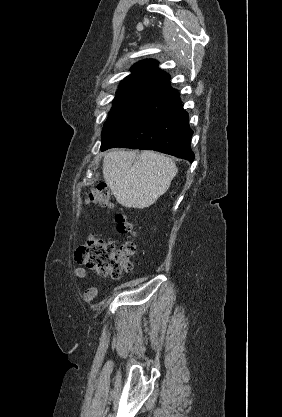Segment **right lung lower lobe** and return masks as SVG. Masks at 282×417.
<instances>
[{"mask_svg":"<svg viewBox=\"0 0 282 417\" xmlns=\"http://www.w3.org/2000/svg\"><path fill=\"white\" fill-rule=\"evenodd\" d=\"M192 134L179 93L169 88L140 115L104 141L101 150L112 147L150 149L192 162Z\"/></svg>","mask_w":282,"mask_h":417,"instance_id":"obj_1","label":"right lung lower lobe"}]
</instances>
